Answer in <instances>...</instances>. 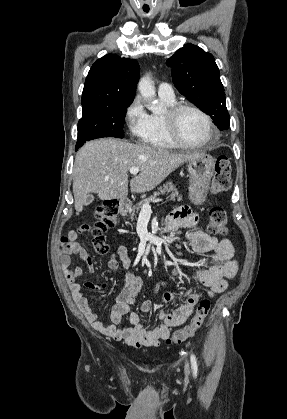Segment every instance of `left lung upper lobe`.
Masks as SVG:
<instances>
[{"mask_svg": "<svg viewBox=\"0 0 287 419\" xmlns=\"http://www.w3.org/2000/svg\"><path fill=\"white\" fill-rule=\"evenodd\" d=\"M167 65L178 91L210 115L220 130L228 129L230 117L213 55L198 46L186 44L167 60Z\"/></svg>", "mask_w": 287, "mask_h": 419, "instance_id": "left-lung-upper-lobe-1", "label": "left lung upper lobe"}]
</instances>
